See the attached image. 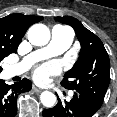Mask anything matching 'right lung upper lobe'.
<instances>
[{
    "label": "right lung upper lobe",
    "mask_w": 117,
    "mask_h": 117,
    "mask_svg": "<svg viewBox=\"0 0 117 117\" xmlns=\"http://www.w3.org/2000/svg\"><path fill=\"white\" fill-rule=\"evenodd\" d=\"M43 17L10 14L0 19V48L17 51L18 45L27 29L34 23L41 21ZM15 53V52H14Z\"/></svg>",
    "instance_id": "obj_1"
}]
</instances>
